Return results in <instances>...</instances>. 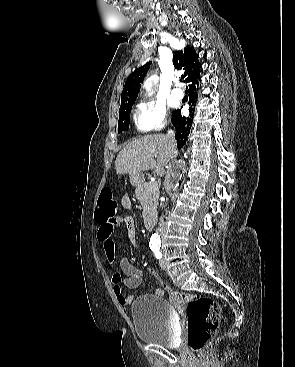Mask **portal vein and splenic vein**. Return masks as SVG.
<instances>
[{
  "label": "portal vein and splenic vein",
  "mask_w": 295,
  "mask_h": 367,
  "mask_svg": "<svg viewBox=\"0 0 295 367\" xmlns=\"http://www.w3.org/2000/svg\"><path fill=\"white\" fill-rule=\"evenodd\" d=\"M154 187H155V188H157V187H158V185H157V183H156V182L154 183Z\"/></svg>",
  "instance_id": "obj_1"
}]
</instances>
